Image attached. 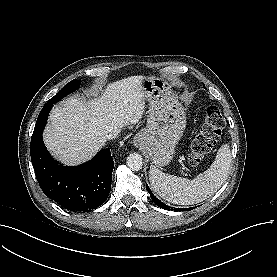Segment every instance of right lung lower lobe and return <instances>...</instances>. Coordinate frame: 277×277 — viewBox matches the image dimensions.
<instances>
[{"label": "right lung lower lobe", "instance_id": "obj_1", "mask_svg": "<svg viewBox=\"0 0 277 277\" xmlns=\"http://www.w3.org/2000/svg\"><path fill=\"white\" fill-rule=\"evenodd\" d=\"M53 104L42 108L31 138V161L42 191L62 207L72 211H90L109 196L114 161L110 148L76 167L63 166L51 158L42 133Z\"/></svg>", "mask_w": 277, "mask_h": 277}]
</instances>
